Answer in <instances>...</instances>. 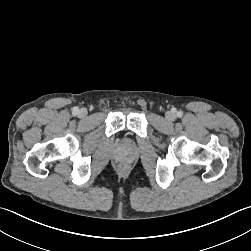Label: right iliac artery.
<instances>
[{
    "instance_id": "1",
    "label": "right iliac artery",
    "mask_w": 251,
    "mask_h": 251,
    "mask_svg": "<svg viewBox=\"0 0 251 251\" xmlns=\"http://www.w3.org/2000/svg\"><path fill=\"white\" fill-rule=\"evenodd\" d=\"M79 112V109L77 107L73 108V114H77Z\"/></svg>"
}]
</instances>
